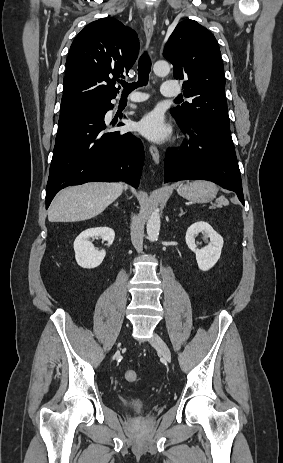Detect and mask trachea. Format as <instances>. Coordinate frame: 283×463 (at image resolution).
Masks as SVG:
<instances>
[{
  "label": "trachea",
  "mask_w": 283,
  "mask_h": 463,
  "mask_svg": "<svg viewBox=\"0 0 283 463\" xmlns=\"http://www.w3.org/2000/svg\"><path fill=\"white\" fill-rule=\"evenodd\" d=\"M150 70L151 60L149 55L145 52L141 55L138 63V81L133 83L121 81V85L124 87L123 93L127 94L138 87L146 86L148 84ZM176 100H179V98H176Z\"/></svg>",
  "instance_id": "3493384b"
}]
</instances>
